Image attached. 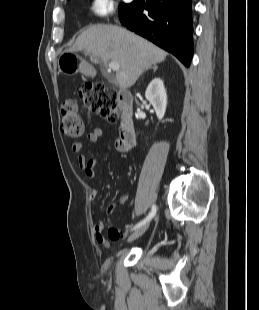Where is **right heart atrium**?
<instances>
[{
	"label": "right heart atrium",
	"mask_w": 259,
	"mask_h": 310,
	"mask_svg": "<svg viewBox=\"0 0 259 310\" xmlns=\"http://www.w3.org/2000/svg\"><path fill=\"white\" fill-rule=\"evenodd\" d=\"M116 10L115 0H89L88 12L95 18H106Z\"/></svg>",
	"instance_id": "obj_1"
}]
</instances>
